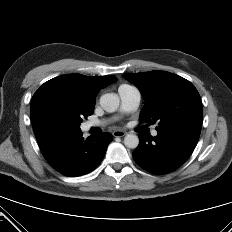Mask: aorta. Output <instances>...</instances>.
<instances>
[{"instance_id": "762f6f07", "label": "aorta", "mask_w": 232, "mask_h": 232, "mask_svg": "<svg viewBox=\"0 0 232 232\" xmlns=\"http://www.w3.org/2000/svg\"><path fill=\"white\" fill-rule=\"evenodd\" d=\"M119 97L115 93H106L100 97L101 107L109 113L115 112L119 107ZM124 145L128 148L135 149L139 145V138L135 134H127L124 137Z\"/></svg>"}]
</instances>
